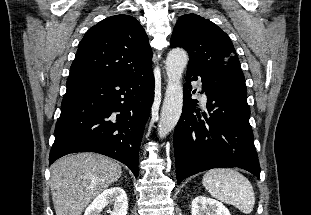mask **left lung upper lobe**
<instances>
[{"instance_id":"left-lung-upper-lobe-1","label":"left lung upper lobe","mask_w":311,"mask_h":215,"mask_svg":"<svg viewBox=\"0 0 311 215\" xmlns=\"http://www.w3.org/2000/svg\"><path fill=\"white\" fill-rule=\"evenodd\" d=\"M171 46L183 47L195 65L226 89L247 94L240 61L229 36L208 19L196 14L181 16Z\"/></svg>"}]
</instances>
